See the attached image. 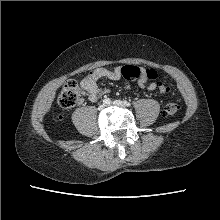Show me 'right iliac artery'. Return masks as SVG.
Returning a JSON list of instances; mask_svg holds the SVG:
<instances>
[{
  "instance_id": "1",
  "label": "right iliac artery",
  "mask_w": 220,
  "mask_h": 220,
  "mask_svg": "<svg viewBox=\"0 0 220 220\" xmlns=\"http://www.w3.org/2000/svg\"><path fill=\"white\" fill-rule=\"evenodd\" d=\"M103 103L104 104H110L111 100L109 98H106V99L103 100Z\"/></svg>"
}]
</instances>
